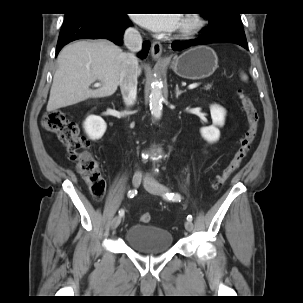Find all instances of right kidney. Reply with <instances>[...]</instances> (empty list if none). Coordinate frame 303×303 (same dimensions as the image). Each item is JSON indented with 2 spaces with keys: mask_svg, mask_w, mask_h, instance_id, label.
<instances>
[{
  "mask_svg": "<svg viewBox=\"0 0 303 303\" xmlns=\"http://www.w3.org/2000/svg\"><path fill=\"white\" fill-rule=\"evenodd\" d=\"M84 130L92 140H98L104 135L107 125L100 116L90 115L84 121Z\"/></svg>",
  "mask_w": 303,
  "mask_h": 303,
  "instance_id": "right-kidney-1",
  "label": "right kidney"
}]
</instances>
